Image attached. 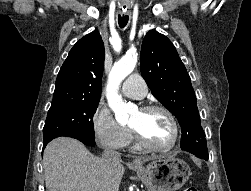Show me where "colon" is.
I'll list each match as a JSON object with an SVG mask.
<instances>
[{
  "instance_id": "obj_1",
  "label": "colon",
  "mask_w": 251,
  "mask_h": 191,
  "mask_svg": "<svg viewBox=\"0 0 251 191\" xmlns=\"http://www.w3.org/2000/svg\"><path fill=\"white\" fill-rule=\"evenodd\" d=\"M183 191H197V189L195 187L188 186V187H185Z\"/></svg>"
}]
</instances>
